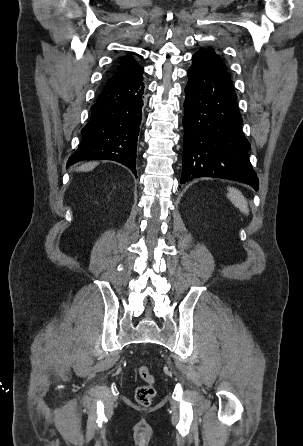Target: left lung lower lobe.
I'll list each match as a JSON object with an SVG mask.
<instances>
[{
    "label": "left lung lower lobe",
    "instance_id": "left-lung-lower-lobe-1",
    "mask_svg": "<svg viewBox=\"0 0 303 446\" xmlns=\"http://www.w3.org/2000/svg\"><path fill=\"white\" fill-rule=\"evenodd\" d=\"M184 102L182 177H215L243 182L258 190L248 158L250 143L242 133L230 75L206 55L194 54Z\"/></svg>",
    "mask_w": 303,
    "mask_h": 446
}]
</instances>
